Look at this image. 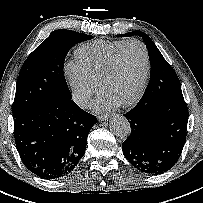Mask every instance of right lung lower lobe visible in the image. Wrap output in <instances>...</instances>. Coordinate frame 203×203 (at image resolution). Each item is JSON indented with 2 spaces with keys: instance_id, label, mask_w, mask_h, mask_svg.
<instances>
[{
  "instance_id": "1",
  "label": "right lung lower lobe",
  "mask_w": 203,
  "mask_h": 203,
  "mask_svg": "<svg viewBox=\"0 0 203 203\" xmlns=\"http://www.w3.org/2000/svg\"><path fill=\"white\" fill-rule=\"evenodd\" d=\"M96 121L71 99L40 105L14 118V138L23 164L43 179L67 175L84 155Z\"/></svg>"
}]
</instances>
